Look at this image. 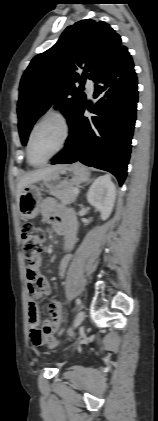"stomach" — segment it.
<instances>
[{
    "label": "stomach",
    "mask_w": 158,
    "mask_h": 421,
    "mask_svg": "<svg viewBox=\"0 0 158 421\" xmlns=\"http://www.w3.org/2000/svg\"><path fill=\"white\" fill-rule=\"evenodd\" d=\"M90 172L81 163L63 165L46 178L41 180L42 185L50 190H59L73 187L89 180ZM41 193L37 185L31 183L21 191L19 197V211L24 219H34L39 212Z\"/></svg>",
    "instance_id": "obj_1"
}]
</instances>
